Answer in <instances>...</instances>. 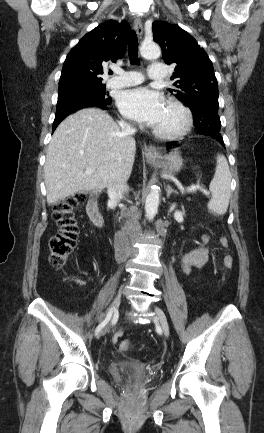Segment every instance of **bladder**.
Segmentation results:
<instances>
[{
  "instance_id": "bladder-1",
  "label": "bladder",
  "mask_w": 264,
  "mask_h": 433,
  "mask_svg": "<svg viewBox=\"0 0 264 433\" xmlns=\"http://www.w3.org/2000/svg\"><path fill=\"white\" fill-rule=\"evenodd\" d=\"M130 369V366L122 363H113L110 366V372L118 382L123 381V375Z\"/></svg>"
}]
</instances>
